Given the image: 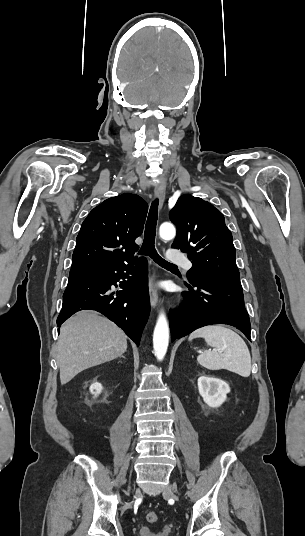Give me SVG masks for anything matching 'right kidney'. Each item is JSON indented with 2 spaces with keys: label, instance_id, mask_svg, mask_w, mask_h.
<instances>
[{
  "label": "right kidney",
  "instance_id": "1",
  "mask_svg": "<svg viewBox=\"0 0 305 536\" xmlns=\"http://www.w3.org/2000/svg\"><path fill=\"white\" fill-rule=\"evenodd\" d=\"M102 390L101 384L99 382H94V384H91L90 386V392L91 394H94V396H98Z\"/></svg>",
  "mask_w": 305,
  "mask_h": 536
}]
</instances>
